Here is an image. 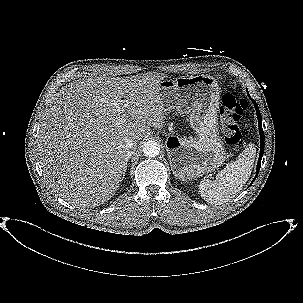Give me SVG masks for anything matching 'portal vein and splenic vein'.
Returning a JSON list of instances; mask_svg holds the SVG:
<instances>
[{
	"instance_id": "portal-vein-and-splenic-vein-1",
	"label": "portal vein and splenic vein",
	"mask_w": 303,
	"mask_h": 303,
	"mask_svg": "<svg viewBox=\"0 0 303 303\" xmlns=\"http://www.w3.org/2000/svg\"><path fill=\"white\" fill-rule=\"evenodd\" d=\"M122 119L126 120V114H122Z\"/></svg>"
}]
</instances>
